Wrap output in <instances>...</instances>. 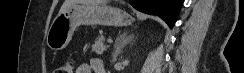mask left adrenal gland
Segmentation results:
<instances>
[{
	"mask_svg": "<svg viewBox=\"0 0 244 73\" xmlns=\"http://www.w3.org/2000/svg\"><path fill=\"white\" fill-rule=\"evenodd\" d=\"M133 38L134 36L133 35H130V36H127L126 33L120 35L116 41H115V44H114V49H115V52H114V59H116L122 52V49L128 44L130 43L131 41H133Z\"/></svg>",
	"mask_w": 244,
	"mask_h": 73,
	"instance_id": "left-adrenal-gland-1",
	"label": "left adrenal gland"
}]
</instances>
